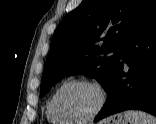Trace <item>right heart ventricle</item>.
Returning a JSON list of instances; mask_svg holds the SVG:
<instances>
[{
	"mask_svg": "<svg viewBox=\"0 0 156 124\" xmlns=\"http://www.w3.org/2000/svg\"><path fill=\"white\" fill-rule=\"evenodd\" d=\"M54 94L51 95V97L49 98L47 105H46V110H45V114H46V118L50 123L53 124H67L66 122H64L63 120L59 119L58 117H56L52 111L51 108V101H52V97Z\"/></svg>",
	"mask_w": 156,
	"mask_h": 124,
	"instance_id": "right-heart-ventricle-1",
	"label": "right heart ventricle"
}]
</instances>
